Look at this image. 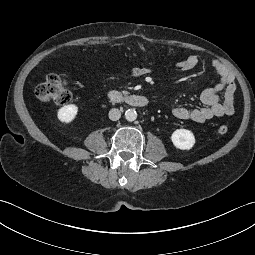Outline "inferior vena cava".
Listing matches in <instances>:
<instances>
[{"instance_id": "inferior-vena-cava-1", "label": "inferior vena cava", "mask_w": 255, "mask_h": 255, "mask_svg": "<svg viewBox=\"0 0 255 255\" xmlns=\"http://www.w3.org/2000/svg\"><path fill=\"white\" fill-rule=\"evenodd\" d=\"M121 117V112L119 109L117 108H112L110 111H109V119L112 120V121H117L119 120Z\"/></svg>"}]
</instances>
